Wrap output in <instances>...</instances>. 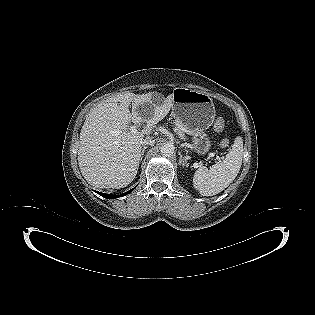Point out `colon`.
<instances>
[{"label": "colon", "mask_w": 315, "mask_h": 315, "mask_svg": "<svg viewBox=\"0 0 315 315\" xmlns=\"http://www.w3.org/2000/svg\"><path fill=\"white\" fill-rule=\"evenodd\" d=\"M226 127L225 120L222 118H217L214 122V129L216 131H223ZM221 148L226 149L229 147L230 142L227 138H222L219 142Z\"/></svg>", "instance_id": "colon-1"}]
</instances>
